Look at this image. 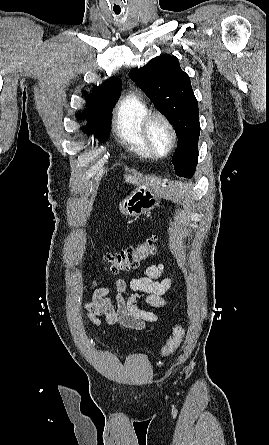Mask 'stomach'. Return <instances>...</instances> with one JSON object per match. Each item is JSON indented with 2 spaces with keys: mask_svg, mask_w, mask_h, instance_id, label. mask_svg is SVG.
Wrapping results in <instances>:
<instances>
[{
  "mask_svg": "<svg viewBox=\"0 0 269 445\" xmlns=\"http://www.w3.org/2000/svg\"><path fill=\"white\" fill-rule=\"evenodd\" d=\"M160 201L158 190L143 182L119 204V209L126 216L138 217L159 206Z\"/></svg>",
  "mask_w": 269,
  "mask_h": 445,
  "instance_id": "0dacf381",
  "label": "stomach"
}]
</instances>
